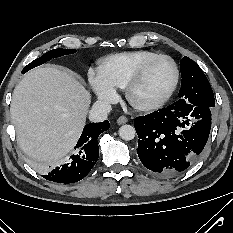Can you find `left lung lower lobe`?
Wrapping results in <instances>:
<instances>
[{
    "mask_svg": "<svg viewBox=\"0 0 233 233\" xmlns=\"http://www.w3.org/2000/svg\"><path fill=\"white\" fill-rule=\"evenodd\" d=\"M211 111L208 106L177 101L137 117L134 127L142 164L161 177H172L186 170L197 160L208 140Z\"/></svg>",
    "mask_w": 233,
    "mask_h": 233,
    "instance_id": "obj_1",
    "label": "left lung lower lobe"
}]
</instances>
